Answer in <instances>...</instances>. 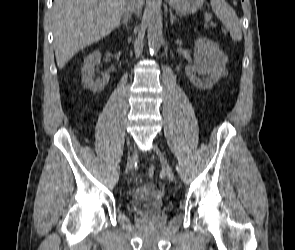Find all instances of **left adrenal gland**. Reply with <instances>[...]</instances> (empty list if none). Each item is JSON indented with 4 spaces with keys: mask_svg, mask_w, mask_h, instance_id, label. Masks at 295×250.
<instances>
[{
    "mask_svg": "<svg viewBox=\"0 0 295 250\" xmlns=\"http://www.w3.org/2000/svg\"><path fill=\"white\" fill-rule=\"evenodd\" d=\"M176 19V17L173 15V13L170 11V23L171 25H173L174 20Z\"/></svg>",
    "mask_w": 295,
    "mask_h": 250,
    "instance_id": "1",
    "label": "left adrenal gland"
}]
</instances>
